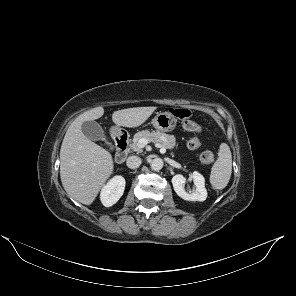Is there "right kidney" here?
Here are the masks:
<instances>
[{"mask_svg": "<svg viewBox=\"0 0 296 296\" xmlns=\"http://www.w3.org/2000/svg\"><path fill=\"white\" fill-rule=\"evenodd\" d=\"M125 179L122 176L113 177L106 186L102 188L100 199L105 207L114 205L123 195L125 190Z\"/></svg>", "mask_w": 296, "mask_h": 296, "instance_id": "1", "label": "right kidney"}]
</instances>
